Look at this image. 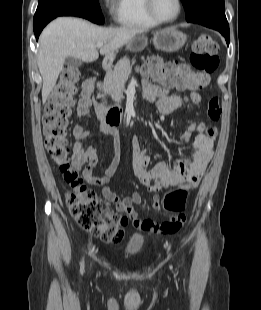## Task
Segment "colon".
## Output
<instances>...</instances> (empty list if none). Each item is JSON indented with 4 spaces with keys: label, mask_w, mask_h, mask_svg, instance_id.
<instances>
[{
    "label": "colon",
    "mask_w": 261,
    "mask_h": 310,
    "mask_svg": "<svg viewBox=\"0 0 261 310\" xmlns=\"http://www.w3.org/2000/svg\"><path fill=\"white\" fill-rule=\"evenodd\" d=\"M218 43L209 34H200L193 44L190 64L193 70L177 61H162L151 57L142 67L150 79L159 81L164 87L179 91L203 88L209 75L218 67ZM80 73L76 67L67 66L61 72L58 84L46 105L43 119L45 147L55 165L56 171L72 189L66 195L67 207L77 224L84 230L101 237L111 244H118L124 237V227L128 219L122 214L110 213L106 203L88 189L83 179L70 165L68 143L69 119L76 101L77 82ZM221 107L217 97L208 101L207 115L217 122L221 117ZM199 129L209 137H215L214 127L201 124ZM194 187L185 182L163 198L162 206L171 212L168 220L149 221L143 227L156 234L170 235L178 232L186 222L185 208L189 191ZM160 207V202L158 200Z\"/></svg>",
    "instance_id": "colon-1"
}]
</instances>
